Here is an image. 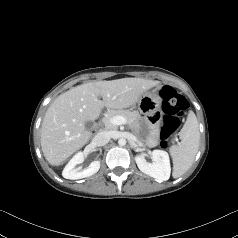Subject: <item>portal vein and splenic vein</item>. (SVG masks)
Here are the masks:
<instances>
[{"instance_id": "obj_1", "label": "portal vein and splenic vein", "mask_w": 238, "mask_h": 238, "mask_svg": "<svg viewBox=\"0 0 238 238\" xmlns=\"http://www.w3.org/2000/svg\"><path fill=\"white\" fill-rule=\"evenodd\" d=\"M110 123L115 126H119L126 124L127 120L123 116H114L113 118L110 119Z\"/></svg>"}]
</instances>
